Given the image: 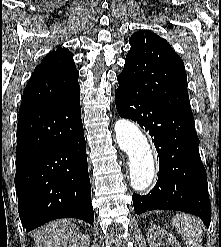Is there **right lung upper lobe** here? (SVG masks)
I'll use <instances>...</instances> for the list:
<instances>
[{
	"label": "right lung upper lobe",
	"mask_w": 221,
	"mask_h": 247,
	"mask_svg": "<svg viewBox=\"0 0 221 247\" xmlns=\"http://www.w3.org/2000/svg\"><path fill=\"white\" fill-rule=\"evenodd\" d=\"M73 54L58 47L36 66L23 92L19 112L68 98L80 90Z\"/></svg>",
	"instance_id": "1"
}]
</instances>
